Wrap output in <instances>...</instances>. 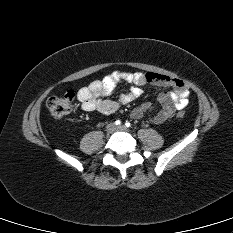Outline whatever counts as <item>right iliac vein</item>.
Here are the masks:
<instances>
[{"instance_id":"1","label":"right iliac vein","mask_w":233,"mask_h":233,"mask_svg":"<svg viewBox=\"0 0 233 233\" xmlns=\"http://www.w3.org/2000/svg\"><path fill=\"white\" fill-rule=\"evenodd\" d=\"M114 130H115L114 124H108V125H107V127H106V132H107L108 134L113 133Z\"/></svg>"}]
</instances>
